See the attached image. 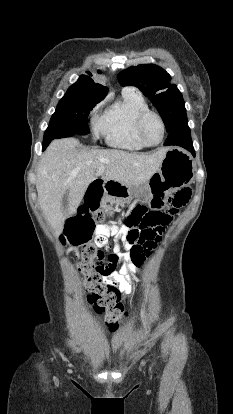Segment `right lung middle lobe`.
I'll use <instances>...</instances> for the list:
<instances>
[{"label": "right lung middle lobe", "mask_w": 233, "mask_h": 414, "mask_svg": "<svg viewBox=\"0 0 233 414\" xmlns=\"http://www.w3.org/2000/svg\"><path fill=\"white\" fill-rule=\"evenodd\" d=\"M100 101L92 95L68 89L59 101L49 126L63 129L68 134L63 137L88 134L87 117L93 107Z\"/></svg>", "instance_id": "dd1d6c3e"}]
</instances>
